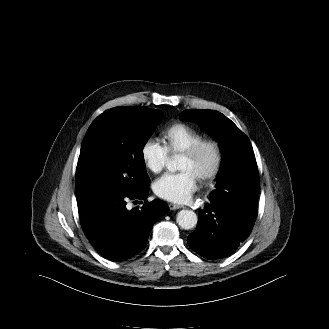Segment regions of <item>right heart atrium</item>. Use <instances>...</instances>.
Masks as SVG:
<instances>
[{
	"mask_svg": "<svg viewBox=\"0 0 329 329\" xmlns=\"http://www.w3.org/2000/svg\"><path fill=\"white\" fill-rule=\"evenodd\" d=\"M141 159L148 170L159 173L169 160L167 147L154 138H147L140 149Z\"/></svg>",
	"mask_w": 329,
	"mask_h": 329,
	"instance_id": "1",
	"label": "right heart atrium"
}]
</instances>
